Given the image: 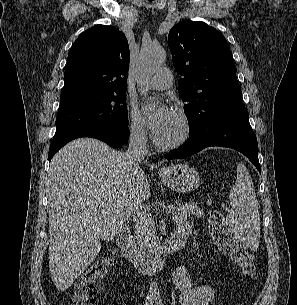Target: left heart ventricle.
<instances>
[{
    "label": "left heart ventricle",
    "instance_id": "left-heart-ventricle-1",
    "mask_svg": "<svg viewBox=\"0 0 297 305\" xmlns=\"http://www.w3.org/2000/svg\"><path fill=\"white\" fill-rule=\"evenodd\" d=\"M181 126L176 116H174L172 122L166 128V130L161 133L157 139L162 142H168L173 140L180 133Z\"/></svg>",
    "mask_w": 297,
    "mask_h": 305
}]
</instances>
